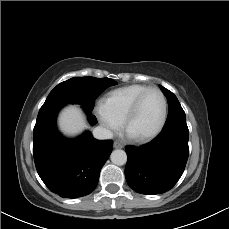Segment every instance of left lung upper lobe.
Listing matches in <instances>:
<instances>
[{
	"label": "left lung upper lobe",
	"mask_w": 229,
	"mask_h": 229,
	"mask_svg": "<svg viewBox=\"0 0 229 229\" xmlns=\"http://www.w3.org/2000/svg\"><path fill=\"white\" fill-rule=\"evenodd\" d=\"M162 92L167 97L168 101V117L165 123L164 128L172 126L176 123L186 122V115L184 110L182 109L177 97L168 89L160 86Z\"/></svg>",
	"instance_id": "5c2ea615"
}]
</instances>
